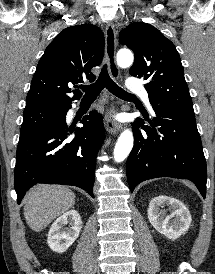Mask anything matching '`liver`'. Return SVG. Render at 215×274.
Returning a JSON list of instances; mask_svg holds the SVG:
<instances>
[{"instance_id":"6515ba94","label":"liver","mask_w":215,"mask_h":274,"mask_svg":"<svg viewBox=\"0 0 215 274\" xmlns=\"http://www.w3.org/2000/svg\"><path fill=\"white\" fill-rule=\"evenodd\" d=\"M24 203L27 224L39 232L74 206L75 195L64 186L36 185L28 191Z\"/></svg>"}]
</instances>
